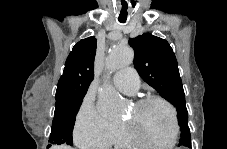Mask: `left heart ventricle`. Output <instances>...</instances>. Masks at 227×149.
Instances as JSON below:
<instances>
[{
	"label": "left heart ventricle",
	"instance_id": "b2bd125f",
	"mask_svg": "<svg viewBox=\"0 0 227 149\" xmlns=\"http://www.w3.org/2000/svg\"><path fill=\"white\" fill-rule=\"evenodd\" d=\"M125 120L132 121L141 135L154 142H169L173 134L171 113L158 102L147 104L139 110L133 107Z\"/></svg>",
	"mask_w": 227,
	"mask_h": 149
}]
</instances>
